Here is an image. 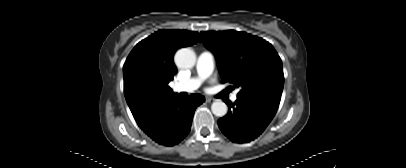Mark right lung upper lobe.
I'll return each instance as SVG.
<instances>
[{
    "label": "right lung upper lobe",
    "mask_w": 406,
    "mask_h": 168,
    "mask_svg": "<svg viewBox=\"0 0 406 168\" xmlns=\"http://www.w3.org/2000/svg\"><path fill=\"white\" fill-rule=\"evenodd\" d=\"M199 41L197 32L159 30L133 48L123 74L125 98L135 120L174 95L168 86L177 71L173 55Z\"/></svg>",
    "instance_id": "obj_1"
}]
</instances>
